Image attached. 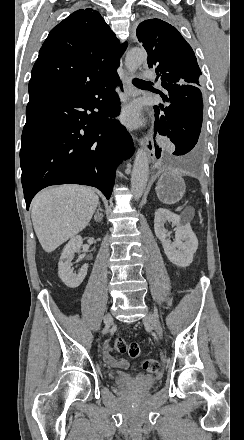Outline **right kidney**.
<instances>
[{"label":"right kidney","instance_id":"ca27d5eb","mask_svg":"<svg viewBox=\"0 0 244 440\" xmlns=\"http://www.w3.org/2000/svg\"><path fill=\"white\" fill-rule=\"evenodd\" d=\"M83 244L81 236H74L70 242L66 244L58 264V274L60 280L64 282L67 288H78L82 284L88 270V264H84L78 274H73L72 260L76 252H80V248Z\"/></svg>","mask_w":244,"mask_h":440}]
</instances>
